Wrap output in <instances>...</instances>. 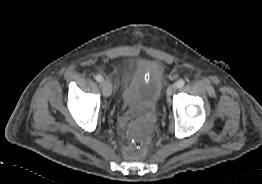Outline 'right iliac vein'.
Masks as SVG:
<instances>
[{"mask_svg":"<svg viewBox=\"0 0 262 184\" xmlns=\"http://www.w3.org/2000/svg\"><path fill=\"white\" fill-rule=\"evenodd\" d=\"M102 88L105 97H109L112 93V84L108 80L102 81Z\"/></svg>","mask_w":262,"mask_h":184,"instance_id":"right-iliac-vein-1","label":"right iliac vein"}]
</instances>
